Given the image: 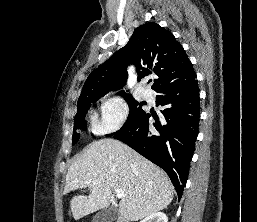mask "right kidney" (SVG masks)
Wrapping results in <instances>:
<instances>
[{
    "mask_svg": "<svg viewBox=\"0 0 257 222\" xmlns=\"http://www.w3.org/2000/svg\"><path fill=\"white\" fill-rule=\"evenodd\" d=\"M140 222H168V217L163 212H156L147 216Z\"/></svg>",
    "mask_w": 257,
    "mask_h": 222,
    "instance_id": "right-kidney-1",
    "label": "right kidney"
}]
</instances>
